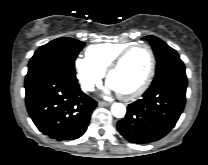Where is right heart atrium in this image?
<instances>
[{
	"mask_svg": "<svg viewBox=\"0 0 208 165\" xmlns=\"http://www.w3.org/2000/svg\"><path fill=\"white\" fill-rule=\"evenodd\" d=\"M74 68L79 85L85 92L92 91L101 83L104 76V73L96 68L87 57L78 56L74 60Z\"/></svg>",
	"mask_w": 208,
	"mask_h": 165,
	"instance_id": "right-heart-atrium-1",
	"label": "right heart atrium"
}]
</instances>
